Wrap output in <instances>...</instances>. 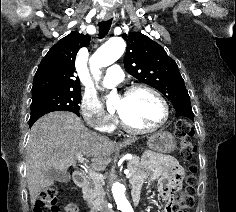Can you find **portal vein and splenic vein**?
<instances>
[{"label":"portal vein and splenic vein","instance_id":"obj_1","mask_svg":"<svg viewBox=\"0 0 236 212\" xmlns=\"http://www.w3.org/2000/svg\"><path fill=\"white\" fill-rule=\"evenodd\" d=\"M77 159L80 163H84V161H85V158L82 155H78ZM124 173L127 178L131 177L129 170H125ZM88 176L93 180H103L104 179L103 175L96 172V171H89Z\"/></svg>","mask_w":236,"mask_h":212}]
</instances>
